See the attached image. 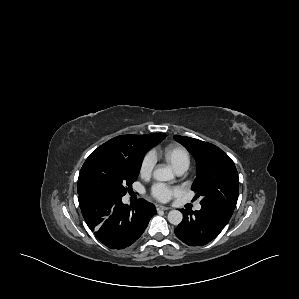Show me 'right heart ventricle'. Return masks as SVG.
<instances>
[{"label": "right heart ventricle", "instance_id": "1", "mask_svg": "<svg viewBox=\"0 0 299 299\" xmlns=\"http://www.w3.org/2000/svg\"><path fill=\"white\" fill-rule=\"evenodd\" d=\"M164 159L177 171L187 169L190 165V154L188 150L181 145H169L162 151Z\"/></svg>", "mask_w": 299, "mask_h": 299}]
</instances>
